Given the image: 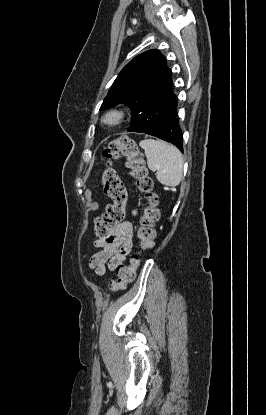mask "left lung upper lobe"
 <instances>
[{
    "instance_id": "1",
    "label": "left lung upper lobe",
    "mask_w": 266,
    "mask_h": 415,
    "mask_svg": "<svg viewBox=\"0 0 266 415\" xmlns=\"http://www.w3.org/2000/svg\"><path fill=\"white\" fill-rule=\"evenodd\" d=\"M172 72L159 50L136 56L115 79L100 110L126 103L132 110L129 132H145L163 121L177 104Z\"/></svg>"
}]
</instances>
